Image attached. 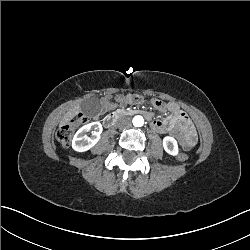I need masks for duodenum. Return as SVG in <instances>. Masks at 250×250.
Here are the masks:
<instances>
[{"label": "duodenum", "mask_w": 250, "mask_h": 250, "mask_svg": "<svg viewBox=\"0 0 250 250\" xmlns=\"http://www.w3.org/2000/svg\"><path fill=\"white\" fill-rule=\"evenodd\" d=\"M134 114L135 112H128L121 109L115 110L106 117L104 126L106 128H112L120 119L124 118L125 116H133ZM144 115L147 117L149 116L147 113H144Z\"/></svg>", "instance_id": "1"}]
</instances>
